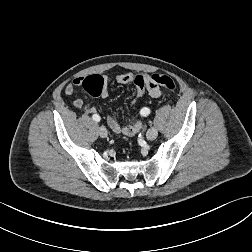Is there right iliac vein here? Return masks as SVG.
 Wrapping results in <instances>:
<instances>
[{"label": "right iliac vein", "mask_w": 252, "mask_h": 252, "mask_svg": "<svg viewBox=\"0 0 252 252\" xmlns=\"http://www.w3.org/2000/svg\"><path fill=\"white\" fill-rule=\"evenodd\" d=\"M99 135L102 137V138H106L107 135H108V132H107V129L105 127H100L99 128Z\"/></svg>", "instance_id": "obj_1"}]
</instances>
